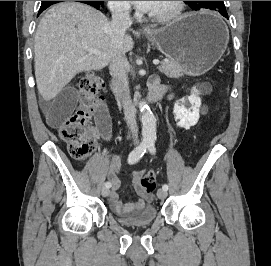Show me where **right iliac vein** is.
I'll use <instances>...</instances> for the list:
<instances>
[{
  "label": "right iliac vein",
  "instance_id": "right-iliac-vein-1",
  "mask_svg": "<svg viewBox=\"0 0 271 266\" xmlns=\"http://www.w3.org/2000/svg\"><path fill=\"white\" fill-rule=\"evenodd\" d=\"M110 193V189L107 186H103L101 189V194L103 197H107Z\"/></svg>",
  "mask_w": 271,
  "mask_h": 266
}]
</instances>
